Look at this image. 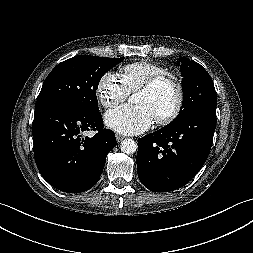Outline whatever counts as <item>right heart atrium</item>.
Listing matches in <instances>:
<instances>
[{"label":"right heart atrium","instance_id":"right-heart-atrium-1","mask_svg":"<svg viewBox=\"0 0 253 253\" xmlns=\"http://www.w3.org/2000/svg\"><path fill=\"white\" fill-rule=\"evenodd\" d=\"M96 92L101 105L105 109H113L124 102L130 95L129 89L120 76L106 72L98 81Z\"/></svg>","mask_w":253,"mask_h":253}]
</instances>
